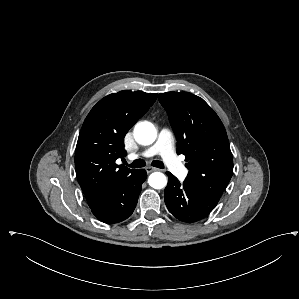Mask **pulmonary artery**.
Listing matches in <instances>:
<instances>
[{"label":"pulmonary artery","mask_w":299,"mask_h":299,"mask_svg":"<svg viewBox=\"0 0 299 299\" xmlns=\"http://www.w3.org/2000/svg\"><path fill=\"white\" fill-rule=\"evenodd\" d=\"M159 154L165 165L170 169V171L180 177L184 178L187 175V170L183 164L178 159L174 148H173V135L168 129H162L159 132L157 142L150 148L140 152L133 153L129 155L130 159H136L140 156L142 157H152Z\"/></svg>","instance_id":"e3ab8cb5"}]
</instances>
